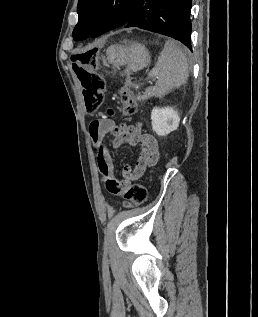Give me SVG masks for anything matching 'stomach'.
<instances>
[{
  "label": "stomach",
  "instance_id": "stomach-1",
  "mask_svg": "<svg viewBox=\"0 0 258 317\" xmlns=\"http://www.w3.org/2000/svg\"><path fill=\"white\" fill-rule=\"evenodd\" d=\"M150 62V52L141 42H124V44H111L106 50L104 64L122 66L128 64L131 70H141Z\"/></svg>",
  "mask_w": 258,
  "mask_h": 317
}]
</instances>
